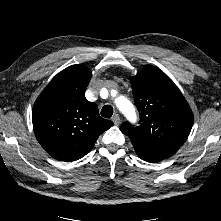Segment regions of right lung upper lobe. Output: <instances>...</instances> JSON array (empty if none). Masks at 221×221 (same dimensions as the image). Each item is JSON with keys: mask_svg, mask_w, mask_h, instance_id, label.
<instances>
[{"mask_svg": "<svg viewBox=\"0 0 221 221\" xmlns=\"http://www.w3.org/2000/svg\"><path fill=\"white\" fill-rule=\"evenodd\" d=\"M92 72L72 65L58 73L33 106V129L38 142L52 157L75 161L85 156L97 138L113 126L99 116L98 106L85 98Z\"/></svg>", "mask_w": 221, "mask_h": 221, "instance_id": "right-lung-upper-lobe-1", "label": "right lung upper lobe"}]
</instances>
